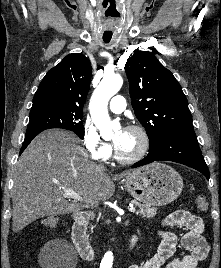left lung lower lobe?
Here are the masks:
<instances>
[{"label": "left lung lower lobe", "mask_w": 221, "mask_h": 268, "mask_svg": "<svg viewBox=\"0 0 221 268\" xmlns=\"http://www.w3.org/2000/svg\"><path fill=\"white\" fill-rule=\"evenodd\" d=\"M160 160L187 165L201 172L209 180V170L194 130L175 131L149 144V154L132 167L137 168Z\"/></svg>", "instance_id": "left-lung-lower-lobe-1"}]
</instances>
